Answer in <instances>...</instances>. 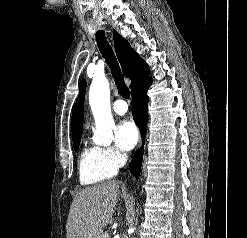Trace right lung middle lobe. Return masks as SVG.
<instances>
[{
	"instance_id": "obj_1",
	"label": "right lung middle lobe",
	"mask_w": 247,
	"mask_h": 238,
	"mask_svg": "<svg viewBox=\"0 0 247 238\" xmlns=\"http://www.w3.org/2000/svg\"><path fill=\"white\" fill-rule=\"evenodd\" d=\"M79 144H80V140H79V141H77V142H75V143H73V145H74V149H75V150H77V149H78Z\"/></svg>"
}]
</instances>
